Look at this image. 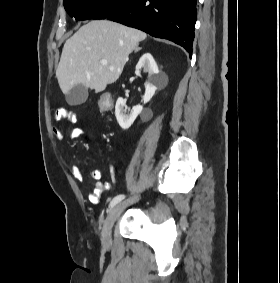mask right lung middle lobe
<instances>
[{"label": "right lung middle lobe", "mask_w": 280, "mask_h": 283, "mask_svg": "<svg viewBox=\"0 0 280 283\" xmlns=\"http://www.w3.org/2000/svg\"><path fill=\"white\" fill-rule=\"evenodd\" d=\"M132 0H64V7L76 20L106 19Z\"/></svg>", "instance_id": "right-lung-middle-lobe-1"}]
</instances>
